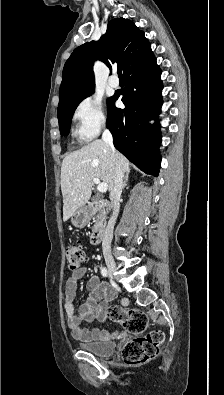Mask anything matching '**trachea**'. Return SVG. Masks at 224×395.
<instances>
[{
    "label": "trachea",
    "instance_id": "3493384b",
    "mask_svg": "<svg viewBox=\"0 0 224 395\" xmlns=\"http://www.w3.org/2000/svg\"><path fill=\"white\" fill-rule=\"evenodd\" d=\"M117 73H118V77H119V78H123V75H122V67H118Z\"/></svg>",
    "mask_w": 224,
    "mask_h": 395
}]
</instances>
